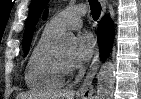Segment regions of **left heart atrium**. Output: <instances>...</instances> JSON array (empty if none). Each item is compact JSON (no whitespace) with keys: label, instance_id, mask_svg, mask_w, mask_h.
Listing matches in <instances>:
<instances>
[{"label":"left heart atrium","instance_id":"1","mask_svg":"<svg viewBox=\"0 0 141 99\" xmlns=\"http://www.w3.org/2000/svg\"><path fill=\"white\" fill-rule=\"evenodd\" d=\"M95 50V39L91 34L85 33L77 39V52L73 58V62L82 65L87 62Z\"/></svg>","mask_w":141,"mask_h":99}]
</instances>
